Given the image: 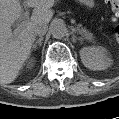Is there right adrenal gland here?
I'll return each mask as SVG.
<instances>
[{
    "instance_id": "1",
    "label": "right adrenal gland",
    "mask_w": 119,
    "mask_h": 119,
    "mask_svg": "<svg viewBox=\"0 0 119 119\" xmlns=\"http://www.w3.org/2000/svg\"><path fill=\"white\" fill-rule=\"evenodd\" d=\"M43 41V35L39 36V39L34 43L33 48L36 49L37 45L41 46Z\"/></svg>"
}]
</instances>
